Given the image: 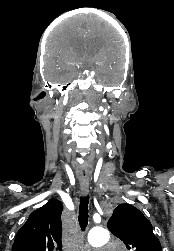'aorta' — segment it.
I'll use <instances>...</instances> for the list:
<instances>
[{
  "label": "aorta",
  "instance_id": "aorta-1",
  "mask_svg": "<svg viewBox=\"0 0 174 251\" xmlns=\"http://www.w3.org/2000/svg\"><path fill=\"white\" fill-rule=\"evenodd\" d=\"M109 238V232L102 227L93 228L88 234L89 244L96 248L105 245L109 241Z\"/></svg>",
  "mask_w": 174,
  "mask_h": 251
}]
</instances>
